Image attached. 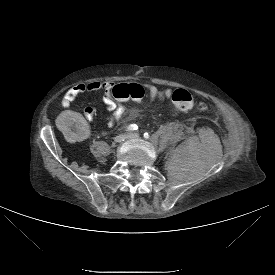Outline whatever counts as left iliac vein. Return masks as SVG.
I'll return each instance as SVG.
<instances>
[{
    "label": "left iliac vein",
    "mask_w": 275,
    "mask_h": 275,
    "mask_svg": "<svg viewBox=\"0 0 275 275\" xmlns=\"http://www.w3.org/2000/svg\"><path fill=\"white\" fill-rule=\"evenodd\" d=\"M129 139H139V134L138 133H131L128 135Z\"/></svg>",
    "instance_id": "obj_1"
}]
</instances>
